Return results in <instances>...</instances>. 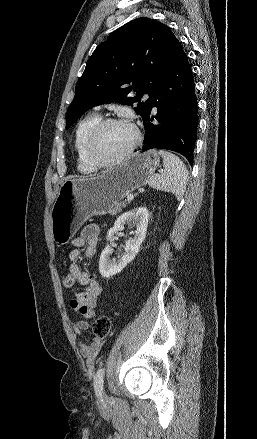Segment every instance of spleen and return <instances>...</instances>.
Returning a JSON list of instances; mask_svg holds the SVG:
<instances>
[{"label":"spleen","mask_w":257,"mask_h":439,"mask_svg":"<svg viewBox=\"0 0 257 439\" xmlns=\"http://www.w3.org/2000/svg\"><path fill=\"white\" fill-rule=\"evenodd\" d=\"M158 153L163 158L164 171L152 175L149 186L164 192H171L175 194L177 200H181L188 181V171L176 155L165 150H160Z\"/></svg>","instance_id":"3e777b00"}]
</instances>
